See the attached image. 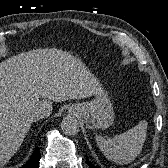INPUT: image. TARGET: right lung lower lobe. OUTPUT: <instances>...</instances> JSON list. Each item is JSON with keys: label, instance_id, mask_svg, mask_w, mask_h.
<instances>
[{"label": "right lung lower lobe", "instance_id": "98d812e1", "mask_svg": "<svg viewBox=\"0 0 168 168\" xmlns=\"http://www.w3.org/2000/svg\"><path fill=\"white\" fill-rule=\"evenodd\" d=\"M39 160L40 152L39 148L37 147L34 153L32 154L30 160L22 168H38Z\"/></svg>", "mask_w": 168, "mask_h": 168}]
</instances>
